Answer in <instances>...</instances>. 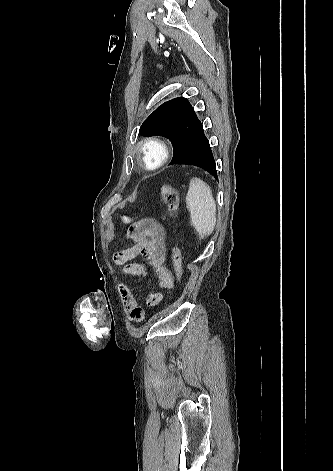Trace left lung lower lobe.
Segmentation results:
<instances>
[{
	"label": "left lung lower lobe",
	"instance_id": "0a47b994",
	"mask_svg": "<svg viewBox=\"0 0 333 471\" xmlns=\"http://www.w3.org/2000/svg\"><path fill=\"white\" fill-rule=\"evenodd\" d=\"M171 164H187L203 168L218 179L216 164L202 124L190 142L172 158Z\"/></svg>",
	"mask_w": 333,
	"mask_h": 471
}]
</instances>
